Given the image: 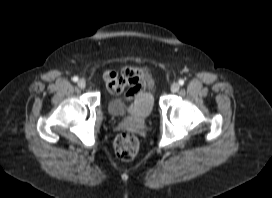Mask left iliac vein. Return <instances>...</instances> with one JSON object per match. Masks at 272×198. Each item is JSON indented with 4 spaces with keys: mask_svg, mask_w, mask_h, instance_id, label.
Instances as JSON below:
<instances>
[{
    "mask_svg": "<svg viewBox=\"0 0 272 198\" xmlns=\"http://www.w3.org/2000/svg\"><path fill=\"white\" fill-rule=\"evenodd\" d=\"M179 87H180L179 84L177 82H174V83L171 84L170 89H171V91L173 93H175V92H177L179 90Z\"/></svg>",
    "mask_w": 272,
    "mask_h": 198,
    "instance_id": "obj_1",
    "label": "left iliac vein"
}]
</instances>
